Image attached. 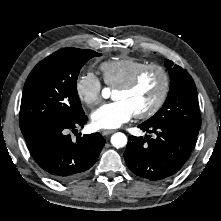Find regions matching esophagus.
<instances>
[{"label": "esophagus", "mask_w": 221, "mask_h": 221, "mask_svg": "<svg viewBox=\"0 0 221 221\" xmlns=\"http://www.w3.org/2000/svg\"><path fill=\"white\" fill-rule=\"evenodd\" d=\"M114 132H115V130H103L102 131V135L103 136H107V135H110V134H112Z\"/></svg>", "instance_id": "obj_1"}]
</instances>
